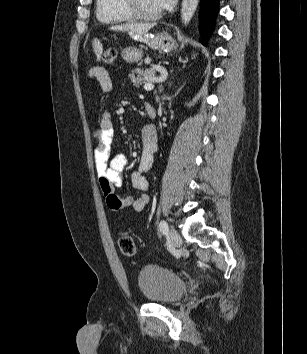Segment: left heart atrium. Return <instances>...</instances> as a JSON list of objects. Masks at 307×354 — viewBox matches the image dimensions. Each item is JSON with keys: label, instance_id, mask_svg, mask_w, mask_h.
<instances>
[{"label": "left heart atrium", "instance_id": "1", "mask_svg": "<svg viewBox=\"0 0 307 354\" xmlns=\"http://www.w3.org/2000/svg\"><path fill=\"white\" fill-rule=\"evenodd\" d=\"M156 2L160 10H165L171 8L175 0H156Z\"/></svg>", "mask_w": 307, "mask_h": 354}]
</instances>
